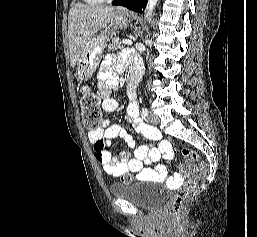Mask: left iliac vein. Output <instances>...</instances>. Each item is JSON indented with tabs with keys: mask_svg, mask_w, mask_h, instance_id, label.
<instances>
[{
	"mask_svg": "<svg viewBox=\"0 0 257 237\" xmlns=\"http://www.w3.org/2000/svg\"><path fill=\"white\" fill-rule=\"evenodd\" d=\"M149 121H150L151 124L157 125L159 123V118L155 113H150Z\"/></svg>",
	"mask_w": 257,
	"mask_h": 237,
	"instance_id": "left-iliac-vein-1",
	"label": "left iliac vein"
}]
</instances>
